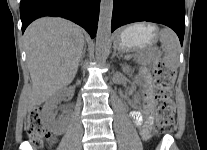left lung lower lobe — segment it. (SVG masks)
Wrapping results in <instances>:
<instances>
[{
	"mask_svg": "<svg viewBox=\"0 0 207 150\" xmlns=\"http://www.w3.org/2000/svg\"><path fill=\"white\" fill-rule=\"evenodd\" d=\"M184 0H114L111 32L139 21L164 24L172 28L182 45L185 32Z\"/></svg>",
	"mask_w": 207,
	"mask_h": 150,
	"instance_id": "obj_1",
	"label": "left lung lower lobe"
}]
</instances>
